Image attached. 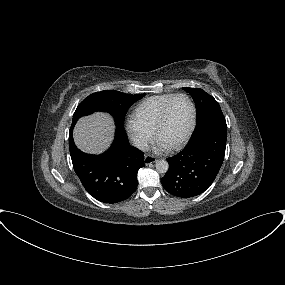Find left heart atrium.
Listing matches in <instances>:
<instances>
[{
	"label": "left heart atrium",
	"mask_w": 285,
	"mask_h": 285,
	"mask_svg": "<svg viewBox=\"0 0 285 285\" xmlns=\"http://www.w3.org/2000/svg\"><path fill=\"white\" fill-rule=\"evenodd\" d=\"M169 146H167L165 143H163L161 140L157 139L156 143V150L157 151H163L166 150Z\"/></svg>",
	"instance_id": "left-heart-atrium-1"
}]
</instances>
